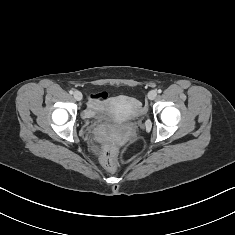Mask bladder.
Masks as SVG:
<instances>
[{
  "mask_svg": "<svg viewBox=\"0 0 235 235\" xmlns=\"http://www.w3.org/2000/svg\"><path fill=\"white\" fill-rule=\"evenodd\" d=\"M121 104H129L133 108H136L135 101L129 97H119L113 101L100 99L94 102L90 116L106 122L115 124L121 123L119 114L116 111V107ZM134 116L135 113H133L130 118H133Z\"/></svg>",
  "mask_w": 235,
  "mask_h": 235,
  "instance_id": "bladder-1",
  "label": "bladder"
}]
</instances>
